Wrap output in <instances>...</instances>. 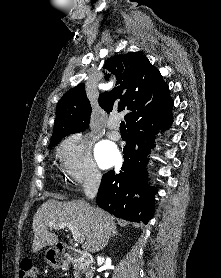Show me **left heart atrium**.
Instances as JSON below:
<instances>
[{
	"instance_id": "left-heart-atrium-1",
	"label": "left heart atrium",
	"mask_w": 221,
	"mask_h": 278,
	"mask_svg": "<svg viewBox=\"0 0 221 278\" xmlns=\"http://www.w3.org/2000/svg\"><path fill=\"white\" fill-rule=\"evenodd\" d=\"M95 156L101 168H108L119 160L117 148L108 141L100 142L95 149Z\"/></svg>"
}]
</instances>
